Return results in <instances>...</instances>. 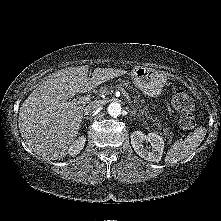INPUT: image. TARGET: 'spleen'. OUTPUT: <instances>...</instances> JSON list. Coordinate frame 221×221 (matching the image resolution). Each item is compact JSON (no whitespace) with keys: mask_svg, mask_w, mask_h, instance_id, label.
I'll return each mask as SVG.
<instances>
[{"mask_svg":"<svg viewBox=\"0 0 221 221\" xmlns=\"http://www.w3.org/2000/svg\"><path fill=\"white\" fill-rule=\"evenodd\" d=\"M205 134L206 129L198 127L184 140L176 141L168 150L165 162L173 164L189 157L203 141Z\"/></svg>","mask_w":221,"mask_h":221,"instance_id":"obj_1","label":"spleen"}]
</instances>
